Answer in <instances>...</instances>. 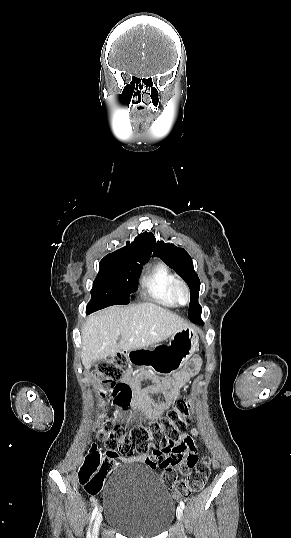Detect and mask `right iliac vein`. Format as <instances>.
Segmentation results:
<instances>
[{"label":"right iliac vein","instance_id":"1","mask_svg":"<svg viewBox=\"0 0 291 538\" xmlns=\"http://www.w3.org/2000/svg\"><path fill=\"white\" fill-rule=\"evenodd\" d=\"M101 521H102V513L98 512L95 518L94 526H93L92 538H97Z\"/></svg>","mask_w":291,"mask_h":538}]
</instances>
